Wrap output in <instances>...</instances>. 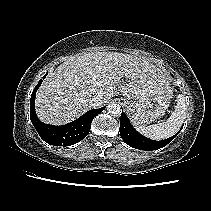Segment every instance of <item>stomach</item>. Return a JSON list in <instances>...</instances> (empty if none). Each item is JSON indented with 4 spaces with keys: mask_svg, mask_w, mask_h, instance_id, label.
I'll return each instance as SVG.
<instances>
[{
    "mask_svg": "<svg viewBox=\"0 0 211 211\" xmlns=\"http://www.w3.org/2000/svg\"><path fill=\"white\" fill-rule=\"evenodd\" d=\"M126 97V96H125ZM172 98V90L168 85L144 99L124 98L125 107L132 113L135 125L146 126L164 116Z\"/></svg>",
    "mask_w": 211,
    "mask_h": 211,
    "instance_id": "0dacf381",
    "label": "stomach"
}]
</instances>
